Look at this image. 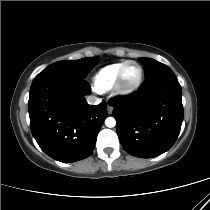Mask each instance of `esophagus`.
I'll return each mask as SVG.
<instances>
[{"mask_svg":"<svg viewBox=\"0 0 210 210\" xmlns=\"http://www.w3.org/2000/svg\"><path fill=\"white\" fill-rule=\"evenodd\" d=\"M107 111H108L109 114H112V112H113V106L110 105V104H108L107 105Z\"/></svg>","mask_w":210,"mask_h":210,"instance_id":"obj_1","label":"esophagus"}]
</instances>
